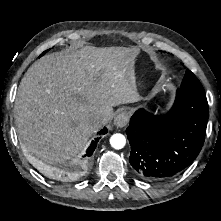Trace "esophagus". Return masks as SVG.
I'll use <instances>...</instances> for the list:
<instances>
[{
    "label": "esophagus",
    "instance_id": "34e87169",
    "mask_svg": "<svg viewBox=\"0 0 221 221\" xmlns=\"http://www.w3.org/2000/svg\"><path fill=\"white\" fill-rule=\"evenodd\" d=\"M130 119V114L127 111H121L119 112L115 119H114V124L117 127H124L127 125V123L129 122Z\"/></svg>",
    "mask_w": 221,
    "mask_h": 221
}]
</instances>
